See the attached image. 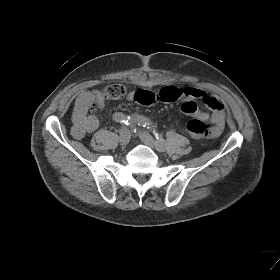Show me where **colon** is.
Here are the masks:
<instances>
[{"instance_id": "obj_1", "label": "colon", "mask_w": 280, "mask_h": 280, "mask_svg": "<svg viewBox=\"0 0 280 280\" xmlns=\"http://www.w3.org/2000/svg\"><path fill=\"white\" fill-rule=\"evenodd\" d=\"M126 93L124 85L116 83L109 85L101 92H95L93 97L94 99H120ZM91 107H95L94 100L91 104ZM187 131L195 137H209L214 136L219 133V131L214 127L209 125L207 122L199 119H192L187 123Z\"/></svg>"}]
</instances>
